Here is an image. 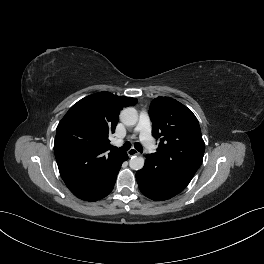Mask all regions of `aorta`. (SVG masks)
Listing matches in <instances>:
<instances>
[{"label": "aorta", "mask_w": 264, "mask_h": 264, "mask_svg": "<svg viewBox=\"0 0 264 264\" xmlns=\"http://www.w3.org/2000/svg\"><path fill=\"white\" fill-rule=\"evenodd\" d=\"M120 120L127 126H134L138 121V113L136 109L127 107L120 113ZM144 158L142 156H132L129 161V166L133 170H140L144 166Z\"/></svg>", "instance_id": "aorta-1"}]
</instances>
